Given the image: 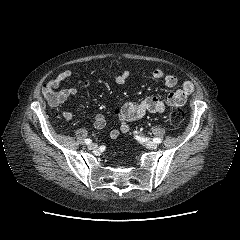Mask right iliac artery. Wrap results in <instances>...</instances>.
I'll return each mask as SVG.
<instances>
[{"label": "right iliac artery", "mask_w": 240, "mask_h": 240, "mask_svg": "<svg viewBox=\"0 0 240 240\" xmlns=\"http://www.w3.org/2000/svg\"><path fill=\"white\" fill-rule=\"evenodd\" d=\"M91 142H92L91 139H86V140H85V143H86V144H90Z\"/></svg>", "instance_id": "1"}]
</instances>
